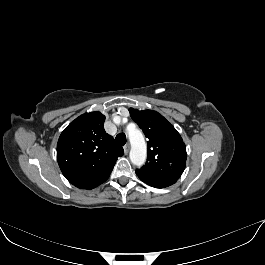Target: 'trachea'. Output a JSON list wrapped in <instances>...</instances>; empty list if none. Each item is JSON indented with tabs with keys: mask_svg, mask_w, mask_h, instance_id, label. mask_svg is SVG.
Segmentation results:
<instances>
[{
	"mask_svg": "<svg viewBox=\"0 0 265 265\" xmlns=\"http://www.w3.org/2000/svg\"><path fill=\"white\" fill-rule=\"evenodd\" d=\"M116 141L119 145H125L126 143V136L124 133H119L117 136H116Z\"/></svg>",
	"mask_w": 265,
	"mask_h": 265,
	"instance_id": "obj_1",
	"label": "trachea"
}]
</instances>
